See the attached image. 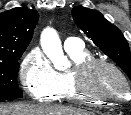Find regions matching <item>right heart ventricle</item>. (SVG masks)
Segmentation results:
<instances>
[{"mask_svg": "<svg viewBox=\"0 0 131 115\" xmlns=\"http://www.w3.org/2000/svg\"><path fill=\"white\" fill-rule=\"evenodd\" d=\"M66 52L73 62V68L81 62L93 58L91 52L83 47L79 49L66 50ZM71 71L59 74L61 86L56 98H64L71 102L85 103L92 106L101 105V103L80 98L74 93V91L72 90V83H71Z\"/></svg>", "mask_w": 131, "mask_h": 115, "instance_id": "right-heart-ventricle-1", "label": "right heart ventricle"}]
</instances>
